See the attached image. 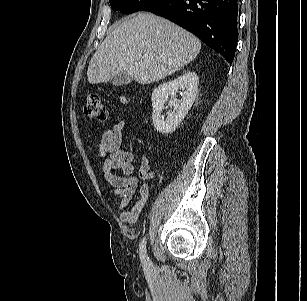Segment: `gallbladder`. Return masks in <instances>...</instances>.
Returning a JSON list of instances; mask_svg holds the SVG:
<instances>
[{"label": "gallbladder", "instance_id": "obj_1", "mask_svg": "<svg viewBox=\"0 0 307 301\" xmlns=\"http://www.w3.org/2000/svg\"><path fill=\"white\" fill-rule=\"evenodd\" d=\"M131 81L132 77L125 73H119L111 79V82L115 86H123L130 83Z\"/></svg>", "mask_w": 307, "mask_h": 301}]
</instances>
